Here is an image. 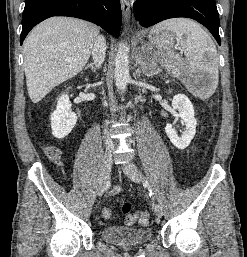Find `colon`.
I'll list each match as a JSON object with an SVG mask.
<instances>
[{"label":"colon","mask_w":247,"mask_h":257,"mask_svg":"<svg viewBox=\"0 0 247 257\" xmlns=\"http://www.w3.org/2000/svg\"><path fill=\"white\" fill-rule=\"evenodd\" d=\"M46 152H47V155L49 157H55L57 155V152L53 147L47 148ZM131 208H132V206L128 202L125 203L122 207V211L125 214V222L128 225H132L135 222H138L141 226H144V227L148 226L149 225V215H148V213L139 212V213L133 214L131 212ZM102 217L105 220H111L112 217H113V213H112L111 209L104 208L102 210Z\"/></svg>","instance_id":"1"}]
</instances>
